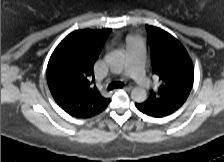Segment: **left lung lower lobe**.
I'll use <instances>...</instances> for the list:
<instances>
[{
  "instance_id": "1",
  "label": "left lung lower lobe",
  "mask_w": 224,
  "mask_h": 162,
  "mask_svg": "<svg viewBox=\"0 0 224 162\" xmlns=\"http://www.w3.org/2000/svg\"><path fill=\"white\" fill-rule=\"evenodd\" d=\"M136 107L138 110H140L141 112L149 115V116H153V117H164L167 116L169 114H171L172 112H168V111H152V110H145L143 109L140 104H136Z\"/></svg>"
}]
</instances>
